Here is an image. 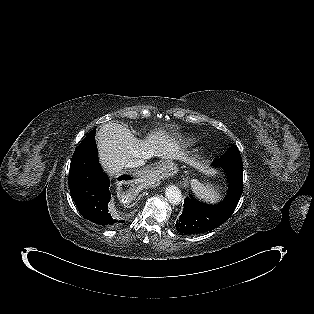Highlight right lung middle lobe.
<instances>
[{"mask_svg":"<svg viewBox=\"0 0 314 314\" xmlns=\"http://www.w3.org/2000/svg\"><path fill=\"white\" fill-rule=\"evenodd\" d=\"M94 136H95V130H92V131L84 138V140L80 143V146L85 145V144L91 142L92 139L94 138Z\"/></svg>","mask_w":314,"mask_h":314,"instance_id":"1","label":"right lung middle lobe"}]
</instances>
